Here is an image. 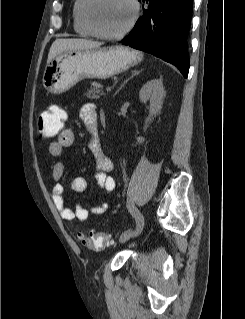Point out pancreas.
Returning <instances> with one entry per match:
<instances>
[{"mask_svg":"<svg viewBox=\"0 0 245 319\" xmlns=\"http://www.w3.org/2000/svg\"><path fill=\"white\" fill-rule=\"evenodd\" d=\"M102 85L97 82H92L90 89H87V92L85 95L90 99H97L100 96L105 95V93L102 90Z\"/></svg>","mask_w":245,"mask_h":319,"instance_id":"pancreas-1","label":"pancreas"}]
</instances>
